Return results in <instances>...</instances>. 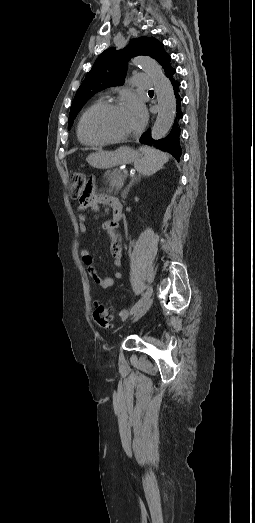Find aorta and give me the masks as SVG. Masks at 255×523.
Segmentation results:
<instances>
[{
  "mask_svg": "<svg viewBox=\"0 0 255 523\" xmlns=\"http://www.w3.org/2000/svg\"><path fill=\"white\" fill-rule=\"evenodd\" d=\"M132 63L141 67L152 78L158 101V115L151 135L153 139H161L168 133L174 121L176 101L173 87L162 67L154 59L139 56L132 59Z\"/></svg>",
  "mask_w": 255,
  "mask_h": 523,
  "instance_id": "1",
  "label": "aorta"
}]
</instances>
